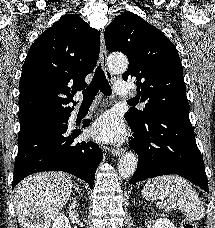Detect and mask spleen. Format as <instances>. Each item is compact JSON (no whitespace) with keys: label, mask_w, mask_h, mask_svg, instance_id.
Returning <instances> with one entry per match:
<instances>
[{"label":"spleen","mask_w":215,"mask_h":228,"mask_svg":"<svg viewBox=\"0 0 215 228\" xmlns=\"http://www.w3.org/2000/svg\"><path fill=\"white\" fill-rule=\"evenodd\" d=\"M142 198L155 200L157 208L171 210L178 208L195 222L205 216V208L194 188L180 176H158L148 180L142 188Z\"/></svg>","instance_id":"1"}]
</instances>
